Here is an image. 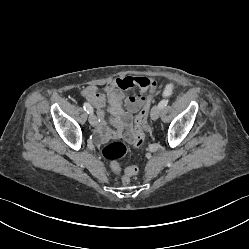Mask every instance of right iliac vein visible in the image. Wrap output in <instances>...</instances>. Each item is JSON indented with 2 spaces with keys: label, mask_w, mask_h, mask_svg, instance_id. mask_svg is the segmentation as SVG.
Masks as SVG:
<instances>
[{
  "label": "right iliac vein",
  "mask_w": 249,
  "mask_h": 249,
  "mask_svg": "<svg viewBox=\"0 0 249 249\" xmlns=\"http://www.w3.org/2000/svg\"><path fill=\"white\" fill-rule=\"evenodd\" d=\"M89 123L92 126H96V124H97V118H96V116L93 113L89 114Z\"/></svg>",
  "instance_id": "obj_1"
}]
</instances>
